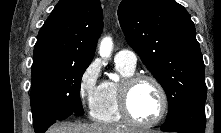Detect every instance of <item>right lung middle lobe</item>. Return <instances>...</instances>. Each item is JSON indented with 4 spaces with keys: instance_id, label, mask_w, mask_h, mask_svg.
<instances>
[{
    "instance_id": "dd1d6c3e",
    "label": "right lung middle lobe",
    "mask_w": 221,
    "mask_h": 133,
    "mask_svg": "<svg viewBox=\"0 0 221 133\" xmlns=\"http://www.w3.org/2000/svg\"><path fill=\"white\" fill-rule=\"evenodd\" d=\"M91 62L61 65L32 73L31 109L33 122L42 118L63 120L83 115L81 78Z\"/></svg>"
}]
</instances>
